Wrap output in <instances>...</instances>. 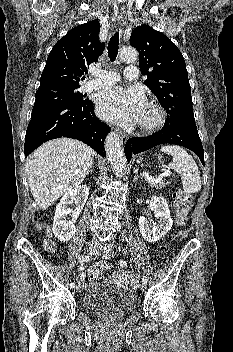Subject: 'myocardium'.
I'll list each match as a JSON object with an SVG mask.
<instances>
[{
	"label": "myocardium",
	"mask_w": 233,
	"mask_h": 352,
	"mask_svg": "<svg viewBox=\"0 0 233 352\" xmlns=\"http://www.w3.org/2000/svg\"><path fill=\"white\" fill-rule=\"evenodd\" d=\"M146 109L149 111L150 116L141 119V128L145 131L159 128L166 118L163 108L157 102L152 101L147 104Z\"/></svg>",
	"instance_id": "obj_1"
}]
</instances>
